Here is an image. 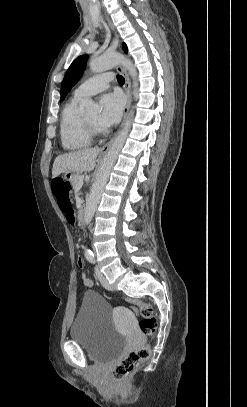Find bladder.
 I'll use <instances>...</instances> for the list:
<instances>
[{
	"label": "bladder",
	"instance_id": "obj_1",
	"mask_svg": "<svg viewBox=\"0 0 247 407\" xmlns=\"http://www.w3.org/2000/svg\"><path fill=\"white\" fill-rule=\"evenodd\" d=\"M113 307L97 292L85 291L82 306L71 327V340L91 360L108 362L124 349L127 336L112 321Z\"/></svg>",
	"mask_w": 247,
	"mask_h": 407
}]
</instances>
